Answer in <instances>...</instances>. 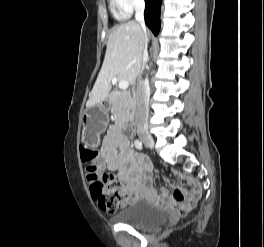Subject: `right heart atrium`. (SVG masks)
<instances>
[{
	"instance_id": "d8ad5b80",
	"label": "right heart atrium",
	"mask_w": 264,
	"mask_h": 247,
	"mask_svg": "<svg viewBox=\"0 0 264 247\" xmlns=\"http://www.w3.org/2000/svg\"><path fill=\"white\" fill-rule=\"evenodd\" d=\"M144 0H111L113 9L120 17L129 16L134 9L142 6Z\"/></svg>"
}]
</instances>
